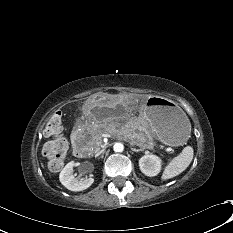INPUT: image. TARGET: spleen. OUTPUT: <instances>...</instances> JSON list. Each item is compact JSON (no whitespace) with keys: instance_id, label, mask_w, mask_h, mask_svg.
Listing matches in <instances>:
<instances>
[{"instance_id":"spleen-1","label":"spleen","mask_w":233,"mask_h":233,"mask_svg":"<svg viewBox=\"0 0 233 233\" xmlns=\"http://www.w3.org/2000/svg\"><path fill=\"white\" fill-rule=\"evenodd\" d=\"M193 148L191 146H186L182 152L173 158L170 163L165 167L162 173V179H170L186 170L193 159Z\"/></svg>"}]
</instances>
